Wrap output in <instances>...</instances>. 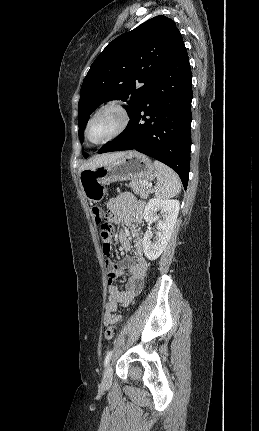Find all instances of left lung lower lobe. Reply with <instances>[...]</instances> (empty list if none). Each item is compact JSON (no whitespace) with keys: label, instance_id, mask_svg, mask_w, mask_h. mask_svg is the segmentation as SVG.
Listing matches in <instances>:
<instances>
[{"label":"left lung lower lobe","instance_id":"left-lung-lower-lobe-1","mask_svg":"<svg viewBox=\"0 0 259 431\" xmlns=\"http://www.w3.org/2000/svg\"><path fill=\"white\" fill-rule=\"evenodd\" d=\"M192 73L184 43L163 68L126 129L101 152L135 149L171 167L184 188L189 178Z\"/></svg>","mask_w":259,"mask_h":431}]
</instances>
